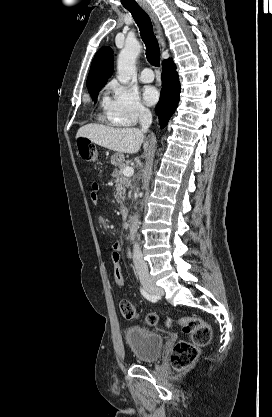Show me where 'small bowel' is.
<instances>
[{
    "label": "small bowel",
    "mask_w": 272,
    "mask_h": 417,
    "mask_svg": "<svg viewBox=\"0 0 272 417\" xmlns=\"http://www.w3.org/2000/svg\"><path fill=\"white\" fill-rule=\"evenodd\" d=\"M92 171H93V169H90V171H89V172H92ZM90 198H91V201H92L95 205H97V204H98V201H99V185H98V183H96V182H93V183L91 184ZM112 250H113V251L120 252V250H121V242H120V241H115V242L113 243V245H112Z\"/></svg>",
    "instance_id": "obj_1"
}]
</instances>
